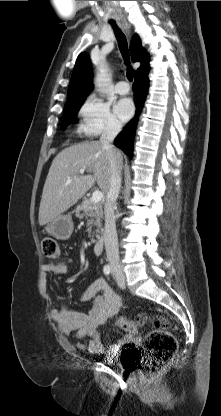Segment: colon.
Instances as JSON below:
<instances>
[{
  "label": "colon",
  "instance_id": "obj_1",
  "mask_svg": "<svg viewBox=\"0 0 221 416\" xmlns=\"http://www.w3.org/2000/svg\"><path fill=\"white\" fill-rule=\"evenodd\" d=\"M42 253L47 259H55L60 254V246L56 239L45 237L42 240ZM148 321L146 315H140L135 321L121 317L117 325L124 331L134 333L137 328ZM153 329L144 337L141 345V370L147 377L159 373L171 359L177 349V339L169 331L168 321L157 317L153 321Z\"/></svg>",
  "mask_w": 221,
  "mask_h": 416
}]
</instances>
